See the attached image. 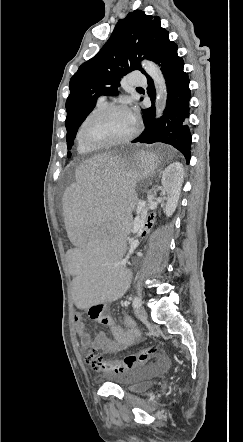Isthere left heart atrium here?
Here are the masks:
<instances>
[{
	"instance_id": "1",
	"label": "left heart atrium",
	"mask_w": 243,
	"mask_h": 442,
	"mask_svg": "<svg viewBox=\"0 0 243 442\" xmlns=\"http://www.w3.org/2000/svg\"><path fill=\"white\" fill-rule=\"evenodd\" d=\"M131 114V117H132V119H133V121H134V123L136 122V118H137V115L135 114V113H130Z\"/></svg>"
}]
</instances>
